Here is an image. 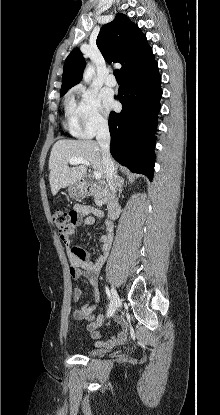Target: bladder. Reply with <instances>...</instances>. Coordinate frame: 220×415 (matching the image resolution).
I'll return each mask as SVG.
<instances>
[{"label": "bladder", "mask_w": 220, "mask_h": 415, "mask_svg": "<svg viewBox=\"0 0 220 415\" xmlns=\"http://www.w3.org/2000/svg\"><path fill=\"white\" fill-rule=\"evenodd\" d=\"M103 352H104V349L95 345L94 347H92L90 350L87 351V354L90 356H97V355L102 354Z\"/></svg>", "instance_id": "1"}]
</instances>
